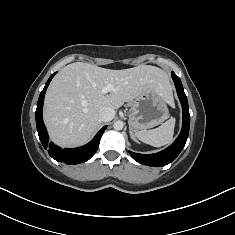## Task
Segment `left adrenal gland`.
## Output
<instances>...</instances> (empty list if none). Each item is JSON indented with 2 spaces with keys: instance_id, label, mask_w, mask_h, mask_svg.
<instances>
[{
  "instance_id": "1",
  "label": "left adrenal gland",
  "mask_w": 235,
  "mask_h": 235,
  "mask_svg": "<svg viewBox=\"0 0 235 235\" xmlns=\"http://www.w3.org/2000/svg\"><path fill=\"white\" fill-rule=\"evenodd\" d=\"M129 133H130V137H131V139H133V140L137 141V140L135 139L134 135H133V131H132L131 126H129Z\"/></svg>"
}]
</instances>
